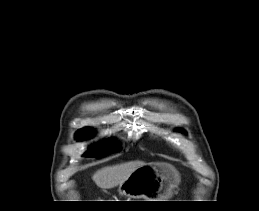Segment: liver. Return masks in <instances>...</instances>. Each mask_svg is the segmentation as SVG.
Here are the masks:
<instances>
[{"label":"liver","instance_id":"1","mask_svg":"<svg viewBox=\"0 0 259 211\" xmlns=\"http://www.w3.org/2000/svg\"><path fill=\"white\" fill-rule=\"evenodd\" d=\"M146 165L145 162L136 160L107 166L96 171L92 179L101 189H110L122 184L137 168Z\"/></svg>","mask_w":259,"mask_h":211}]
</instances>
